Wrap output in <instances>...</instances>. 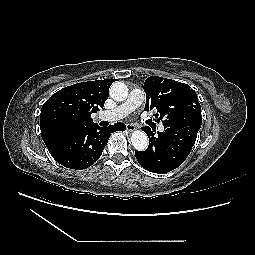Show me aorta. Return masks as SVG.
Here are the masks:
<instances>
[{"label":"aorta","mask_w":255,"mask_h":255,"mask_svg":"<svg viewBox=\"0 0 255 255\" xmlns=\"http://www.w3.org/2000/svg\"><path fill=\"white\" fill-rule=\"evenodd\" d=\"M110 95L116 101H124L128 95V88L123 82H115L110 87ZM133 147L138 151L146 150L149 144L144 131L136 130L131 135Z\"/></svg>","instance_id":"aorta-1"}]
</instances>
